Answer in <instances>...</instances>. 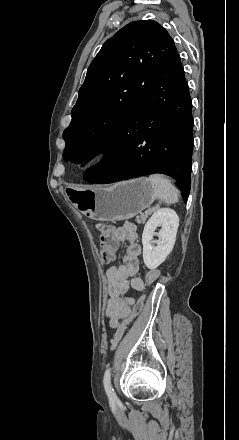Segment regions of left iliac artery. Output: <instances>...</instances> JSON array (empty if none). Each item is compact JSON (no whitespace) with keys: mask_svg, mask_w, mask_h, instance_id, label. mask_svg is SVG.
<instances>
[{"mask_svg":"<svg viewBox=\"0 0 239 440\" xmlns=\"http://www.w3.org/2000/svg\"><path fill=\"white\" fill-rule=\"evenodd\" d=\"M103 384H104L106 394L109 398V401L111 403L117 402V396H116V393L114 392V389L111 384V369L110 368H107V370L105 371L104 378H103Z\"/></svg>","mask_w":239,"mask_h":440,"instance_id":"obj_1","label":"left iliac artery"}]
</instances>
